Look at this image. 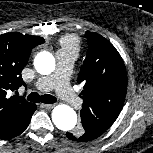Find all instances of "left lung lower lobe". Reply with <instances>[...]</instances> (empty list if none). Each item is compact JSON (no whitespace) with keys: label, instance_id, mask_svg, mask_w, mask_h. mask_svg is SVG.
<instances>
[{"label":"left lung lower lobe","instance_id":"left-lung-lower-lobe-1","mask_svg":"<svg viewBox=\"0 0 153 153\" xmlns=\"http://www.w3.org/2000/svg\"><path fill=\"white\" fill-rule=\"evenodd\" d=\"M66 135L71 140H76V141H81V142H87V141L95 139V138L89 137V136H87L85 134L74 135L72 133H68L67 132Z\"/></svg>","mask_w":153,"mask_h":153}]
</instances>
